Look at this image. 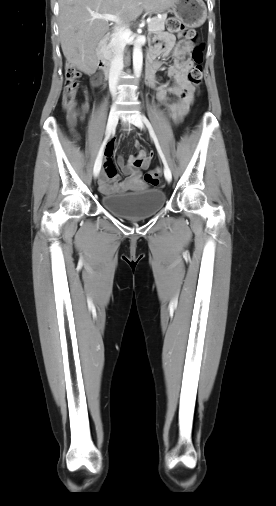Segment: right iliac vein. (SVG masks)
<instances>
[{"mask_svg": "<svg viewBox=\"0 0 276 506\" xmlns=\"http://www.w3.org/2000/svg\"><path fill=\"white\" fill-rule=\"evenodd\" d=\"M118 117L119 116H118L117 110L115 108L112 109L111 112H110L109 118H108L107 132H106L107 135H109L114 130V128L116 127V125L118 123ZM101 156L102 155H100V156L97 157L96 162H101ZM98 174H99V172L95 171L94 176L97 177Z\"/></svg>", "mask_w": 276, "mask_h": 506, "instance_id": "1", "label": "right iliac vein"}]
</instances>
